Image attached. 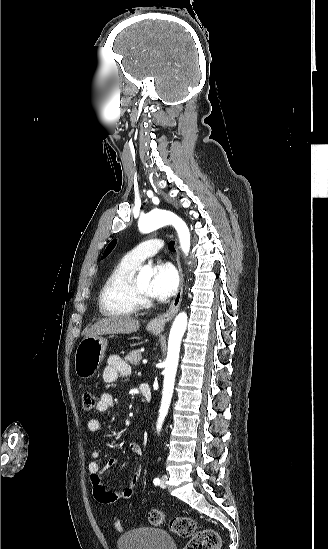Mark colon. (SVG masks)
<instances>
[{
	"instance_id": "colon-1",
	"label": "colon",
	"mask_w": 328,
	"mask_h": 549,
	"mask_svg": "<svg viewBox=\"0 0 328 549\" xmlns=\"http://www.w3.org/2000/svg\"><path fill=\"white\" fill-rule=\"evenodd\" d=\"M95 396L91 392L82 395V406L87 412L95 407ZM148 520L153 525H161L167 521L166 514L161 510H152ZM116 532L123 531V525L119 520L113 522ZM170 530L177 536L190 537L184 549H219L221 539L217 531L213 529L197 530L196 521L187 516H177L169 520Z\"/></svg>"
}]
</instances>
